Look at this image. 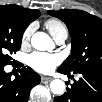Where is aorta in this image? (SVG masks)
I'll return each mask as SVG.
<instances>
[{
	"instance_id": "762f6f07",
	"label": "aorta",
	"mask_w": 102,
	"mask_h": 102,
	"mask_svg": "<svg viewBox=\"0 0 102 102\" xmlns=\"http://www.w3.org/2000/svg\"><path fill=\"white\" fill-rule=\"evenodd\" d=\"M32 46L40 51L50 50L54 47L52 39L44 32H36L31 38ZM50 89L55 95H62L65 92V83L55 79L50 83Z\"/></svg>"
}]
</instances>
